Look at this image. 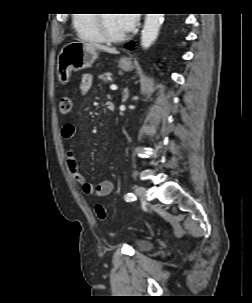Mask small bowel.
Instances as JSON below:
<instances>
[{"label": "small bowel", "mask_w": 252, "mask_h": 303, "mask_svg": "<svg viewBox=\"0 0 252 303\" xmlns=\"http://www.w3.org/2000/svg\"><path fill=\"white\" fill-rule=\"evenodd\" d=\"M93 81L94 78L92 74L85 73L82 75L80 83V91L82 95H85L89 92L92 87ZM75 133L76 128L72 123L67 122L63 124L61 135L64 139H73ZM65 163L73 181L81 185L82 191L85 195L92 198H99L108 196L112 193L114 184L110 180H104L96 186L86 181L84 175L80 172L75 153L72 148H68L66 151Z\"/></svg>", "instance_id": "obj_1"}]
</instances>
